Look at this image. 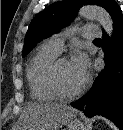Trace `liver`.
Here are the masks:
<instances>
[{"label": "liver", "instance_id": "liver-1", "mask_svg": "<svg viewBox=\"0 0 123 130\" xmlns=\"http://www.w3.org/2000/svg\"><path fill=\"white\" fill-rule=\"evenodd\" d=\"M75 114V109L65 104L30 102L20 116L18 130H59Z\"/></svg>", "mask_w": 123, "mask_h": 130}]
</instances>
